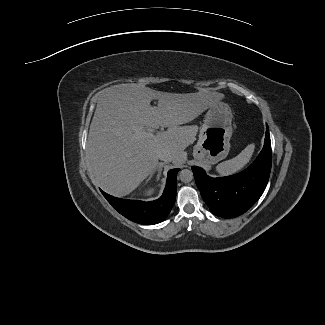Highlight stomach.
<instances>
[{"label":"stomach","instance_id":"1","mask_svg":"<svg viewBox=\"0 0 325 325\" xmlns=\"http://www.w3.org/2000/svg\"><path fill=\"white\" fill-rule=\"evenodd\" d=\"M231 136V109L228 104L219 101L209 107L193 157L203 165L216 164L228 155Z\"/></svg>","mask_w":325,"mask_h":325}]
</instances>
